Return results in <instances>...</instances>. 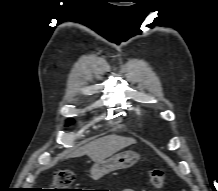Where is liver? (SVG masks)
<instances>
[{
  "instance_id": "1",
  "label": "liver",
  "mask_w": 218,
  "mask_h": 191,
  "mask_svg": "<svg viewBox=\"0 0 218 191\" xmlns=\"http://www.w3.org/2000/svg\"><path fill=\"white\" fill-rule=\"evenodd\" d=\"M135 143L136 140L133 138L118 135H108L86 144L85 146L71 153L69 156H67V158L87 155L95 163L101 162L116 152Z\"/></svg>"
}]
</instances>
